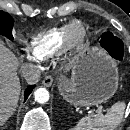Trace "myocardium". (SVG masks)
Instances as JSON below:
<instances>
[{"label": "myocardium", "mask_w": 130, "mask_h": 130, "mask_svg": "<svg viewBox=\"0 0 130 130\" xmlns=\"http://www.w3.org/2000/svg\"><path fill=\"white\" fill-rule=\"evenodd\" d=\"M87 36L85 26L80 21H72L66 32L65 49L69 51L81 48Z\"/></svg>", "instance_id": "f54148a6"}]
</instances>
